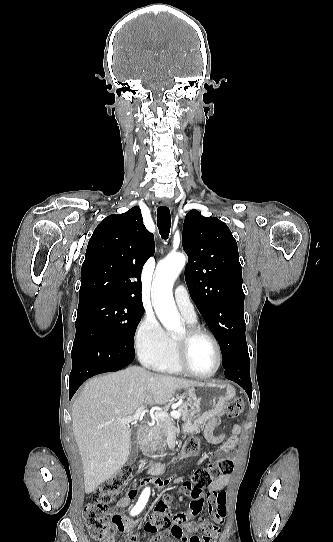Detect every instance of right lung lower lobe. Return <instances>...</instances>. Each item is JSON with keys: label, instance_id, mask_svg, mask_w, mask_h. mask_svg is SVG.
Returning <instances> with one entry per match:
<instances>
[{"label": "right lung lower lobe", "instance_id": "right-lung-lower-lobe-1", "mask_svg": "<svg viewBox=\"0 0 333 542\" xmlns=\"http://www.w3.org/2000/svg\"><path fill=\"white\" fill-rule=\"evenodd\" d=\"M71 356L70 399L86 379L122 369L134 360L135 353L120 345L100 325L83 320L76 324Z\"/></svg>", "mask_w": 333, "mask_h": 542}]
</instances>
